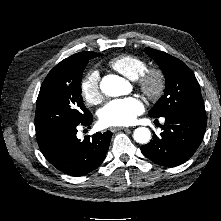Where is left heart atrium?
Wrapping results in <instances>:
<instances>
[{
  "label": "left heart atrium",
  "mask_w": 221,
  "mask_h": 221,
  "mask_svg": "<svg viewBox=\"0 0 221 221\" xmlns=\"http://www.w3.org/2000/svg\"><path fill=\"white\" fill-rule=\"evenodd\" d=\"M143 111L144 104L138 97H126L107 102L98 116L103 126H125L132 124Z\"/></svg>",
  "instance_id": "39dd6f15"
}]
</instances>
